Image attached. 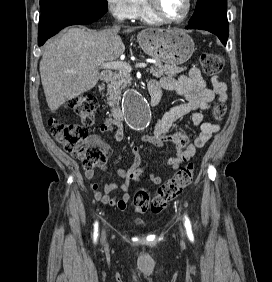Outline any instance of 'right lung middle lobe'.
Masks as SVG:
<instances>
[{
    "label": "right lung middle lobe",
    "mask_w": 272,
    "mask_h": 282,
    "mask_svg": "<svg viewBox=\"0 0 272 282\" xmlns=\"http://www.w3.org/2000/svg\"><path fill=\"white\" fill-rule=\"evenodd\" d=\"M64 4H87L107 7V0H40V9L42 12L48 8Z\"/></svg>",
    "instance_id": "dd1d6c3e"
}]
</instances>
